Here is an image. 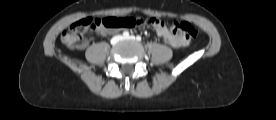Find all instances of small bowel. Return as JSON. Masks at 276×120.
<instances>
[{
  "label": "small bowel",
  "mask_w": 276,
  "mask_h": 120,
  "mask_svg": "<svg viewBox=\"0 0 276 120\" xmlns=\"http://www.w3.org/2000/svg\"><path fill=\"white\" fill-rule=\"evenodd\" d=\"M156 33L164 39L166 43L174 48L184 47L187 45V40L183 37H178L173 35L165 26V24L160 21L159 23L154 25ZM102 33H106L102 30ZM88 46V40H84L78 45L79 49H84Z\"/></svg>",
  "instance_id": "c3829d8e"
}]
</instances>
